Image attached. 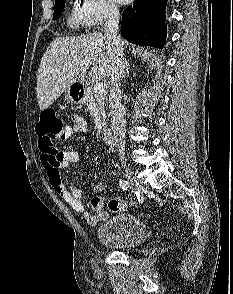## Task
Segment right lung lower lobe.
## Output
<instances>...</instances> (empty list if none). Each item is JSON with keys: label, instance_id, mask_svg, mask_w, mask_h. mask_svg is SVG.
<instances>
[{"label": "right lung lower lobe", "instance_id": "98d812e1", "mask_svg": "<svg viewBox=\"0 0 233 294\" xmlns=\"http://www.w3.org/2000/svg\"><path fill=\"white\" fill-rule=\"evenodd\" d=\"M167 0H135L122 14L121 36L137 45L163 48Z\"/></svg>", "mask_w": 233, "mask_h": 294}]
</instances>
